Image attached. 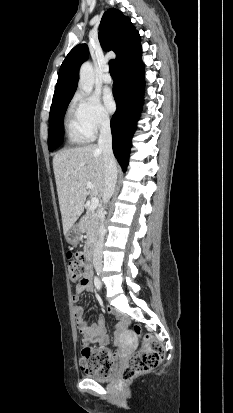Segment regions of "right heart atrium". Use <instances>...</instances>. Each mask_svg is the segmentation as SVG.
<instances>
[{"mask_svg": "<svg viewBox=\"0 0 233 413\" xmlns=\"http://www.w3.org/2000/svg\"><path fill=\"white\" fill-rule=\"evenodd\" d=\"M75 101L83 126L91 138L109 127L110 116L97 96L78 93Z\"/></svg>", "mask_w": 233, "mask_h": 413, "instance_id": "1", "label": "right heart atrium"}]
</instances>
